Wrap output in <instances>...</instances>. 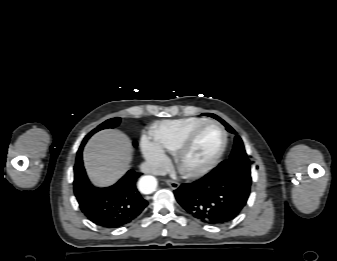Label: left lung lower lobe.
<instances>
[{"label":"left lung lower lobe","instance_id":"0a47b994","mask_svg":"<svg viewBox=\"0 0 337 261\" xmlns=\"http://www.w3.org/2000/svg\"><path fill=\"white\" fill-rule=\"evenodd\" d=\"M178 203L194 218L222 225L236 218L246 205L250 188L224 171H211L203 178L182 184L174 191Z\"/></svg>","mask_w":337,"mask_h":261}]
</instances>
